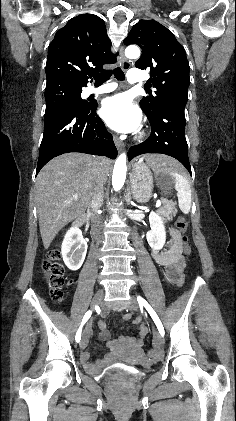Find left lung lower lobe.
Returning <instances> with one entry per match:
<instances>
[{"instance_id":"0a47b994","label":"left lung lower lobe","mask_w":236,"mask_h":421,"mask_svg":"<svg viewBox=\"0 0 236 421\" xmlns=\"http://www.w3.org/2000/svg\"><path fill=\"white\" fill-rule=\"evenodd\" d=\"M185 106V103L170 101L147 116L151 134L145 142L130 148L129 160L145 153L166 154L179 160L191 174L185 138Z\"/></svg>"}]
</instances>
